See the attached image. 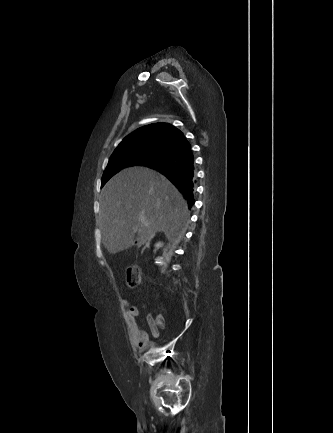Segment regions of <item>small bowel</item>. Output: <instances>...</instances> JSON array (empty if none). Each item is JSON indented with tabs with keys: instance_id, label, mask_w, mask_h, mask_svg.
<instances>
[{
	"instance_id": "1",
	"label": "small bowel",
	"mask_w": 333,
	"mask_h": 433,
	"mask_svg": "<svg viewBox=\"0 0 333 433\" xmlns=\"http://www.w3.org/2000/svg\"><path fill=\"white\" fill-rule=\"evenodd\" d=\"M125 320L128 326L129 338L133 346L138 350H145L150 345L149 333L141 326L139 318V310L136 307L130 306L129 302L124 299L122 302ZM150 334L153 338H158L160 331L157 324L152 320H148Z\"/></svg>"
}]
</instances>
